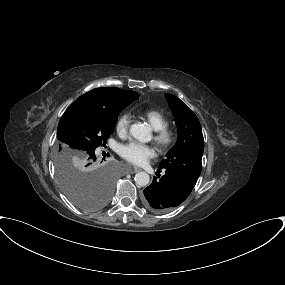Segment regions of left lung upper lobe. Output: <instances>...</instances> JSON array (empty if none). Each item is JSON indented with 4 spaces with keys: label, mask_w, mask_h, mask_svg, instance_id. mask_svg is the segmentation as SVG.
I'll use <instances>...</instances> for the list:
<instances>
[{
    "label": "left lung upper lobe",
    "mask_w": 285,
    "mask_h": 285,
    "mask_svg": "<svg viewBox=\"0 0 285 285\" xmlns=\"http://www.w3.org/2000/svg\"><path fill=\"white\" fill-rule=\"evenodd\" d=\"M178 128V140L160 162L159 168L175 170L197 182L202 169L204 140L200 122L194 112L179 98L165 94Z\"/></svg>",
    "instance_id": "obj_1"
}]
</instances>
